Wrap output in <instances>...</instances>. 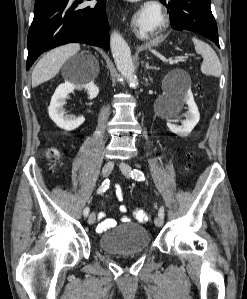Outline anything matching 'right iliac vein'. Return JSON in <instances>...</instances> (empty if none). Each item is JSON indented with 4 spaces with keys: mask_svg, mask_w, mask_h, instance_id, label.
<instances>
[{
    "mask_svg": "<svg viewBox=\"0 0 247 299\" xmlns=\"http://www.w3.org/2000/svg\"><path fill=\"white\" fill-rule=\"evenodd\" d=\"M114 167V162L113 161H108L102 168V176L107 177L111 171L113 170ZM96 215L94 212H92L89 217H88V223L91 225L95 222Z\"/></svg>",
    "mask_w": 247,
    "mask_h": 299,
    "instance_id": "63e3f726",
    "label": "right iliac vein"
}]
</instances>
